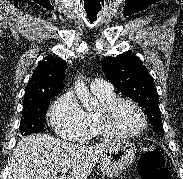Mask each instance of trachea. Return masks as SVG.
<instances>
[{"label": "trachea", "mask_w": 183, "mask_h": 179, "mask_svg": "<svg viewBox=\"0 0 183 179\" xmlns=\"http://www.w3.org/2000/svg\"><path fill=\"white\" fill-rule=\"evenodd\" d=\"M98 12H94V13H88V18L89 20L92 22L96 19V15Z\"/></svg>", "instance_id": "obj_1"}]
</instances>
